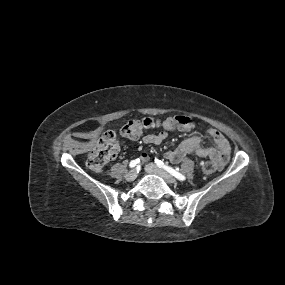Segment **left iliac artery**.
Listing matches in <instances>:
<instances>
[{
  "mask_svg": "<svg viewBox=\"0 0 285 285\" xmlns=\"http://www.w3.org/2000/svg\"><path fill=\"white\" fill-rule=\"evenodd\" d=\"M155 163L159 168L165 169L167 172H169L171 175H173L175 178L184 181L185 176L179 173L178 171L174 170L172 167L165 165L161 160L155 159Z\"/></svg>",
  "mask_w": 285,
  "mask_h": 285,
  "instance_id": "left-iliac-artery-1",
  "label": "left iliac artery"
}]
</instances>
